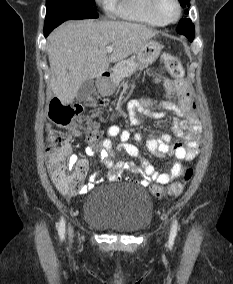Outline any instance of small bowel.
Returning <instances> with one entry per match:
<instances>
[{
  "label": "small bowel",
  "mask_w": 233,
  "mask_h": 284,
  "mask_svg": "<svg viewBox=\"0 0 233 284\" xmlns=\"http://www.w3.org/2000/svg\"><path fill=\"white\" fill-rule=\"evenodd\" d=\"M163 88L166 99L158 104L151 100H135L129 103L128 109L132 124H137L136 115L141 114L151 118H164L167 112L173 114V130L178 137L184 140V143H172L169 134H163L160 138L147 137L146 145L157 155L166 156L174 155L177 161L173 164L169 172H158L154 166L146 159H140V164L134 161L115 160L113 152L112 138H118L120 143L117 145V151L124 152L131 157H139V150L134 145L129 143L131 134L128 130H124L118 125L108 127L107 137L102 141L100 149V158L108 168V179L110 181H118L124 171H132L141 176L140 184L148 186L155 182L160 185L169 183L171 180L180 177L184 172V163L195 159L200 153L201 132L202 128L196 113V104L192 98L191 90L187 82L183 79H164ZM176 97V101L171 98ZM155 106L160 107V110L153 109ZM74 137H79L78 130L73 131ZM134 139L141 142L143 137L136 133ZM94 147L88 146L86 154L94 155ZM70 165H78L84 168L85 172L89 168V162L85 158H78L72 155L69 158ZM48 174L51 181L54 183L53 172L47 161ZM101 180L92 176L89 182L81 187L79 193L85 194L95 187L97 182Z\"/></svg>",
  "instance_id": "1"
}]
</instances>
